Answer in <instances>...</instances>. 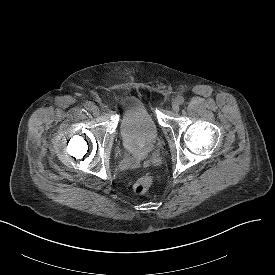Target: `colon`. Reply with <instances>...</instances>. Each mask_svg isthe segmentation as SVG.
I'll return each mask as SVG.
<instances>
[{"mask_svg": "<svg viewBox=\"0 0 275 275\" xmlns=\"http://www.w3.org/2000/svg\"><path fill=\"white\" fill-rule=\"evenodd\" d=\"M153 183V177L150 174H145L137 179L133 184V191L137 195L145 194Z\"/></svg>", "mask_w": 275, "mask_h": 275, "instance_id": "1", "label": "colon"}]
</instances>
